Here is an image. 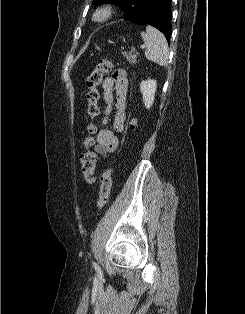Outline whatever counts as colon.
<instances>
[{
  "instance_id": "colon-1",
  "label": "colon",
  "mask_w": 245,
  "mask_h": 314,
  "mask_svg": "<svg viewBox=\"0 0 245 314\" xmlns=\"http://www.w3.org/2000/svg\"><path fill=\"white\" fill-rule=\"evenodd\" d=\"M112 70V62L108 59L100 60L95 69L87 78V101L88 109L87 113L91 119V122L86 127V137L83 139V145L85 151L81 156V166H82V175L84 181L91 185L95 182V168H96V154L92 151V146L94 145V133L96 131V126L94 123L95 118L99 114L98 108V99L99 91L98 87L102 82V78L105 74L109 73ZM136 126V120L132 119L130 122L131 129H134ZM113 168L107 169L103 172L101 176V185L99 192V199L97 206L99 209H102L110 196L111 186H112V174Z\"/></svg>"
}]
</instances>
